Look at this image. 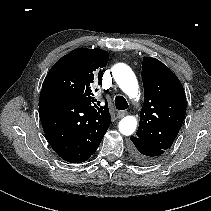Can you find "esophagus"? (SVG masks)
<instances>
[{"instance_id":"1","label":"esophagus","mask_w":211,"mask_h":211,"mask_svg":"<svg viewBox=\"0 0 211 211\" xmlns=\"http://www.w3.org/2000/svg\"><path fill=\"white\" fill-rule=\"evenodd\" d=\"M127 114V111H118L117 112V118L120 119L124 117Z\"/></svg>"}]
</instances>
